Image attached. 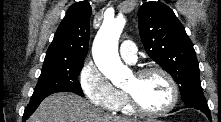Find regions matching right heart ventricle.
I'll use <instances>...</instances> for the list:
<instances>
[{
  "label": "right heart ventricle",
  "instance_id": "1",
  "mask_svg": "<svg viewBox=\"0 0 221 122\" xmlns=\"http://www.w3.org/2000/svg\"><path fill=\"white\" fill-rule=\"evenodd\" d=\"M112 110L124 115L134 114V110L130 106L125 93L122 91H118V96Z\"/></svg>",
  "mask_w": 221,
  "mask_h": 122
}]
</instances>
